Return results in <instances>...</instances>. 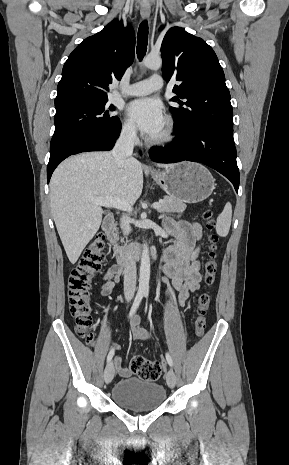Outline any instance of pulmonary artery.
<instances>
[{
	"label": "pulmonary artery",
	"mask_w": 289,
	"mask_h": 465,
	"mask_svg": "<svg viewBox=\"0 0 289 465\" xmlns=\"http://www.w3.org/2000/svg\"><path fill=\"white\" fill-rule=\"evenodd\" d=\"M164 86L163 78L160 75H152L148 79L136 82L121 91L125 96H141L154 91L161 90Z\"/></svg>",
	"instance_id": "1"
}]
</instances>
